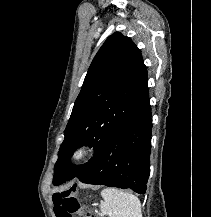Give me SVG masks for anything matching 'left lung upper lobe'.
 <instances>
[{"label": "left lung upper lobe", "mask_w": 211, "mask_h": 217, "mask_svg": "<svg viewBox=\"0 0 211 217\" xmlns=\"http://www.w3.org/2000/svg\"><path fill=\"white\" fill-rule=\"evenodd\" d=\"M147 67L132 40L119 32L110 35L95 55L64 131L53 185L76 177L88 163L75 167L73 152L94 146L95 155L122 122L149 99Z\"/></svg>", "instance_id": "1"}]
</instances>
